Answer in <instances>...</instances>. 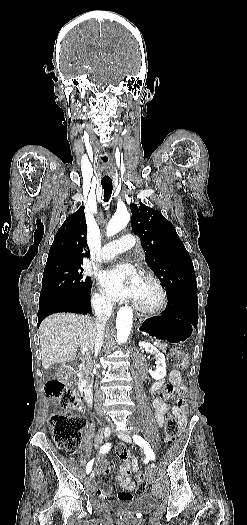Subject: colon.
<instances>
[{"instance_id":"5ec220e1","label":"colon","mask_w":247,"mask_h":525,"mask_svg":"<svg viewBox=\"0 0 247 525\" xmlns=\"http://www.w3.org/2000/svg\"><path fill=\"white\" fill-rule=\"evenodd\" d=\"M173 362L183 369L186 366L188 355L180 347H174ZM45 392L49 398L57 400L67 412L54 413L49 421L52 436L58 447L68 455L75 454L81 445L82 432L86 427V419L82 416V400L74 388L68 387L59 379H50L45 385ZM176 406L181 408L185 404L183 397L175 399ZM178 433V421L169 414L165 422L166 442H173ZM146 489L144 477L137 478V494L143 495Z\"/></svg>"}]
</instances>
